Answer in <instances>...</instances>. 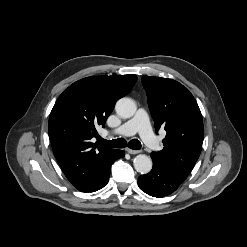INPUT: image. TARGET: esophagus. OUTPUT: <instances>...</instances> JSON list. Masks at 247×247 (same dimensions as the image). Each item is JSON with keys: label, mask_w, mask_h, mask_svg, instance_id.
Segmentation results:
<instances>
[{"label": "esophagus", "mask_w": 247, "mask_h": 247, "mask_svg": "<svg viewBox=\"0 0 247 247\" xmlns=\"http://www.w3.org/2000/svg\"><path fill=\"white\" fill-rule=\"evenodd\" d=\"M126 151L129 153V154H138L140 151L139 150H133V149H126Z\"/></svg>", "instance_id": "obj_1"}]
</instances>
